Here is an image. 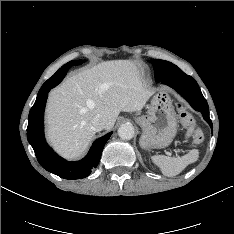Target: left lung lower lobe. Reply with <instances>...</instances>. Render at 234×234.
<instances>
[{"label": "left lung lower lobe", "instance_id": "0a47b994", "mask_svg": "<svg viewBox=\"0 0 234 234\" xmlns=\"http://www.w3.org/2000/svg\"><path fill=\"white\" fill-rule=\"evenodd\" d=\"M159 82L174 88L195 110L201 111L203 118L212 128L207 101L203 97L197 82L191 76L182 73L180 75L164 78Z\"/></svg>", "mask_w": 234, "mask_h": 234}]
</instances>
